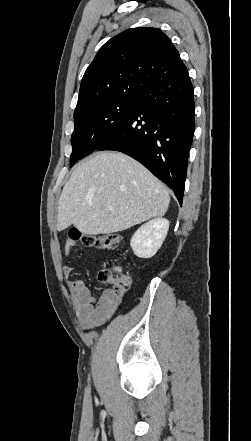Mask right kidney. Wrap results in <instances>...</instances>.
Segmentation results:
<instances>
[{
	"mask_svg": "<svg viewBox=\"0 0 251 441\" xmlns=\"http://www.w3.org/2000/svg\"><path fill=\"white\" fill-rule=\"evenodd\" d=\"M169 221L156 218L143 224L131 238V248L139 258H151L156 254L166 238Z\"/></svg>",
	"mask_w": 251,
	"mask_h": 441,
	"instance_id": "1",
	"label": "right kidney"
}]
</instances>
